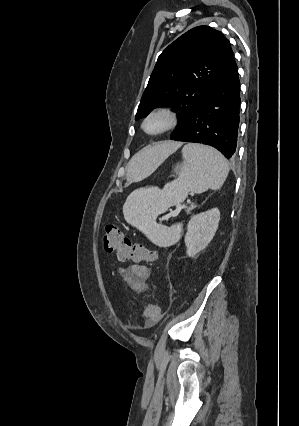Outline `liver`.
Returning a JSON list of instances; mask_svg holds the SVG:
<instances>
[{
	"instance_id": "1",
	"label": "liver",
	"mask_w": 299,
	"mask_h": 426,
	"mask_svg": "<svg viewBox=\"0 0 299 426\" xmlns=\"http://www.w3.org/2000/svg\"><path fill=\"white\" fill-rule=\"evenodd\" d=\"M182 143L162 141L148 145L136 153L128 166L131 178L144 177L151 174L168 156L173 154Z\"/></svg>"
}]
</instances>
